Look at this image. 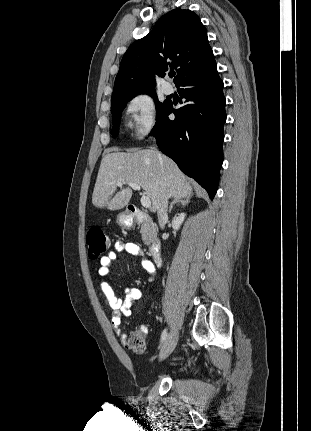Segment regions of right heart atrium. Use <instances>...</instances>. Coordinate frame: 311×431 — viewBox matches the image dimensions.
<instances>
[{"label": "right heart atrium", "instance_id": "right-heart-atrium-1", "mask_svg": "<svg viewBox=\"0 0 311 431\" xmlns=\"http://www.w3.org/2000/svg\"><path fill=\"white\" fill-rule=\"evenodd\" d=\"M128 121L137 139H144L153 133L159 124V114L153 96L139 92L131 96L125 106Z\"/></svg>", "mask_w": 311, "mask_h": 431}]
</instances>
